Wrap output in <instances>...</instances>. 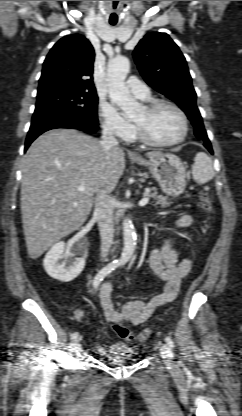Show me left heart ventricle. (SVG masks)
Wrapping results in <instances>:
<instances>
[{"mask_svg": "<svg viewBox=\"0 0 242 416\" xmlns=\"http://www.w3.org/2000/svg\"><path fill=\"white\" fill-rule=\"evenodd\" d=\"M132 120L142 125L152 138L159 141L178 138L183 127L179 115L169 107H159L152 112L141 107Z\"/></svg>", "mask_w": 242, "mask_h": 416, "instance_id": "obj_1", "label": "left heart ventricle"}]
</instances>
